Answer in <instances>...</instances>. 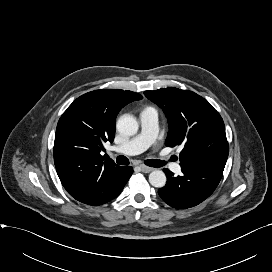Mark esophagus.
I'll return each mask as SVG.
<instances>
[{
  "mask_svg": "<svg viewBox=\"0 0 272 272\" xmlns=\"http://www.w3.org/2000/svg\"><path fill=\"white\" fill-rule=\"evenodd\" d=\"M139 168L141 169L142 172L144 173H150L154 169L145 165H140Z\"/></svg>",
  "mask_w": 272,
  "mask_h": 272,
  "instance_id": "obj_1",
  "label": "esophagus"
}]
</instances>
